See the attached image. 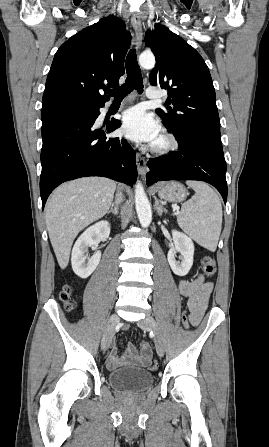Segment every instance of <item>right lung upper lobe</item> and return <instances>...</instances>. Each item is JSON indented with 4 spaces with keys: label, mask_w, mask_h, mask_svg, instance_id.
Masks as SVG:
<instances>
[{
    "label": "right lung upper lobe",
    "mask_w": 269,
    "mask_h": 447,
    "mask_svg": "<svg viewBox=\"0 0 269 447\" xmlns=\"http://www.w3.org/2000/svg\"><path fill=\"white\" fill-rule=\"evenodd\" d=\"M130 40L125 23L113 15L72 36L54 56L42 107L109 100L102 89L119 85Z\"/></svg>",
    "instance_id": "right-lung-upper-lobe-1"
}]
</instances>
